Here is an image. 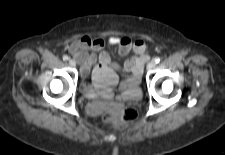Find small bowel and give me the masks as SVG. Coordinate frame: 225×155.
<instances>
[{
	"instance_id": "small-bowel-1",
	"label": "small bowel",
	"mask_w": 225,
	"mask_h": 155,
	"mask_svg": "<svg viewBox=\"0 0 225 155\" xmlns=\"http://www.w3.org/2000/svg\"><path fill=\"white\" fill-rule=\"evenodd\" d=\"M106 46L117 47L120 55H127L131 50L134 56L127 59L122 65L112 61ZM69 51L81 66V74L86 77L93 65L92 84L83 83L82 89L89 95L95 92L108 95L110 88L118 83L117 73L119 71L132 74L124 82V87L133 89L138 84L142 69L148 60L147 46L142 40L132 41L127 37H110L107 40L102 38H91L80 36L69 45ZM97 52H100L97 56Z\"/></svg>"
}]
</instances>
